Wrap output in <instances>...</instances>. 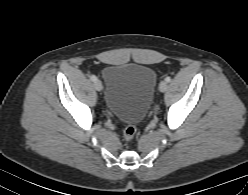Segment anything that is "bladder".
<instances>
[{
  "mask_svg": "<svg viewBox=\"0 0 248 195\" xmlns=\"http://www.w3.org/2000/svg\"><path fill=\"white\" fill-rule=\"evenodd\" d=\"M103 79L106 107L129 124L141 121L152 102L155 71L136 63L111 64L103 70Z\"/></svg>",
  "mask_w": 248,
  "mask_h": 195,
  "instance_id": "obj_1",
  "label": "bladder"
}]
</instances>
